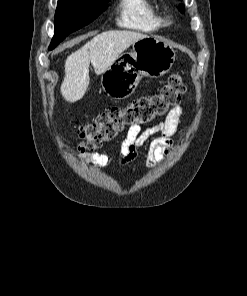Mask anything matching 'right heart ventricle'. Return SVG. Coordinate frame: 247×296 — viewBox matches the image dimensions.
<instances>
[{
	"label": "right heart ventricle",
	"instance_id": "e07e8e85",
	"mask_svg": "<svg viewBox=\"0 0 247 296\" xmlns=\"http://www.w3.org/2000/svg\"><path fill=\"white\" fill-rule=\"evenodd\" d=\"M121 27L140 32H154L161 26V17L151 0H120Z\"/></svg>",
	"mask_w": 247,
	"mask_h": 296
}]
</instances>
